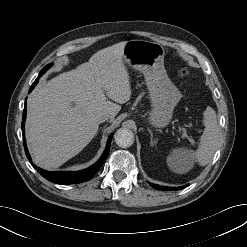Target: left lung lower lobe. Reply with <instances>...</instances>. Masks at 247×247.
<instances>
[{"label": "left lung lower lobe", "instance_id": "obj_1", "mask_svg": "<svg viewBox=\"0 0 247 247\" xmlns=\"http://www.w3.org/2000/svg\"><path fill=\"white\" fill-rule=\"evenodd\" d=\"M150 186H152L153 188L157 189V190H169V191H173V190H179V189H183L184 187L188 186H182V187H166V186H160V185H156V184H151Z\"/></svg>", "mask_w": 247, "mask_h": 247}]
</instances>
